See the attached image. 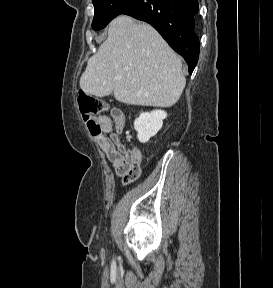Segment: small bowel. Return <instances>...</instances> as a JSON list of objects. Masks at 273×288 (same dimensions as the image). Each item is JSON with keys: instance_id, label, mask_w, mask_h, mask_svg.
Wrapping results in <instances>:
<instances>
[{"instance_id": "obj_1", "label": "small bowel", "mask_w": 273, "mask_h": 288, "mask_svg": "<svg viewBox=\"0 0 273 288\" xmlns=\"http://www.w3.org/2000/svg\"><path fill=\"white\" fill-rule=\"evenodd\" d=\"M101 135L97 142L107 159L114 167L116 174L124 184L136 181L141 175L142 154L137 147L126 148L119 139L125 128V114L121 109L113 108L110 116H99Z\"/></svg>"}]
</instances>
